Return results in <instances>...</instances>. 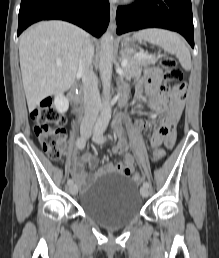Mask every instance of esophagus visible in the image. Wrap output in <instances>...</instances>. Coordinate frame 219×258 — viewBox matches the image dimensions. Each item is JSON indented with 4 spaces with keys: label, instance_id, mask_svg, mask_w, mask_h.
<instances>
[{
    "label": "esophagus",
    "instance_id": "34e87169",
    "mask_svg": "<svg viewBox=\"0 0 219 258\" xmlns=\"http://www.w3.org/2000/svg\"><path fill=\"white\" fill-rule=\"evenodd\" d=\"M116 10H117V7L114 3H112L110 5V28L111 30H115L116 28V25H115V17H116Z\"/></svg>",
    "mask_w": 219,
    "mask_h": 258
}]
</instances>
